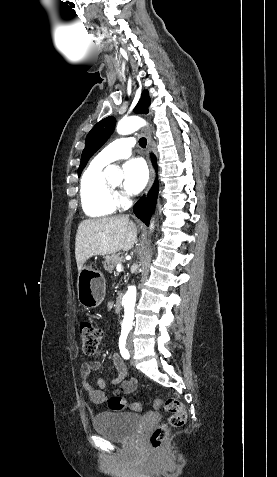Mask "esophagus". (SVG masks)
Segmentation results:
<instances>
[{"label":"esophagus","mask_w":277,"mask_h":477,"mask_svg":"<svg viewBox=\"0 0 277 477\" xmlns=\"http://www.w3.org/2000/svg\"><path fill=\"white\" fill-rule=\"evenodd\" d=\"M142 134L147 139V152H148V154H150V151H151V136H150V132H149L147 127H144L142 129ZM149 168H150V178H149L147 188L145 190V194H147L149 192L150 188L152 187L153 182H154V177H155V172H154V169H153V166L151 164L150 159H149Z\"/></svg>","instance_id":"34e87169"}]
</instances>
